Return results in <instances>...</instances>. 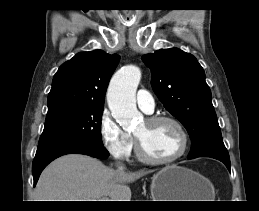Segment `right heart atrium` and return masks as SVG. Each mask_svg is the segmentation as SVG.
<instances>
[{
	"label": "right heart atrium",
	"mask_w": 259,
	"mask_h": 211,
	"mask_svg": "<svg viewBox=\"0 0 259 211\" xmlns=\"http://www.w3.org/2000/svg\"><path fill=\"white\" fill-rule=\"evenodd\" d=\"M99 134L104 148L114 158L124 160L130 157L134 140L119 126L108 110H103L100 115Z\"/></svg>",
	"instance_id": "1"
}]
</instances>
